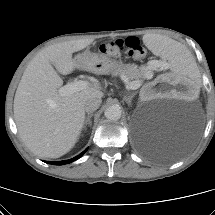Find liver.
I'll return each instance as SVG.
<instances>
[{
	"instance_id": "1",
	"label": "liver",
	"mask_w": 215,
	"mask_h": 215,
	"mask_svg": "<svg viewBox=\"0 0 215 215\" xmlns=\"http://www.w3.org/2000/svg\"><path fill=\"white\" fill-rule=\"evenodd\" d=\"M93 38L70 40L41 50L28 64L14 97V119L24 145L41 158H59L77 142L85 122L84 104L102 98L99 83L79 92L61 96L63 75L80 64L73 53L88 47Z\"/></svg>"
}]
</instances>
